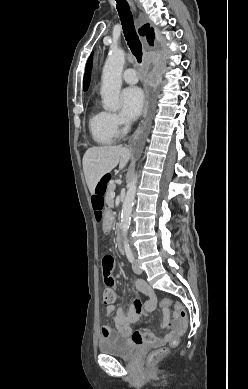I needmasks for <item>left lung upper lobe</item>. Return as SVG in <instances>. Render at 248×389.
<instances>
[{"label":"left lung upper lobe","instance_id":"1","mask_svg":"<svg viewBox=\"0 0 248 389\" xmlns=\"http://www.w3.org/2000/svg\"><path fill=\"white\" fill-rule=\"evenodd\" d=\"M91 68H92V54L90 55L86 64V69L84 74V90H87L89 86Z\"/></svg>","mask_w":248,"mask_h":389}]
</instances>
